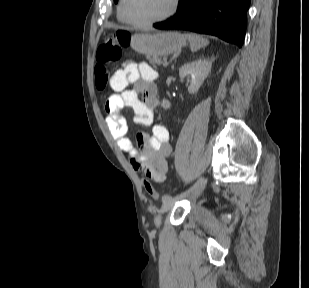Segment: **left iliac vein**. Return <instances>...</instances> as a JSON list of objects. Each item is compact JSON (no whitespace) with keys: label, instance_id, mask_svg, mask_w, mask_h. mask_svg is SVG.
<instances>
[{"label":"left iliac vein","instance_id":"left-iliac-vein-1","mask_svg":"<svg viewBox=\"0 0 309 288\" xmlns=\"http://www.w3.org/2000/svg\"><path fill=\"white\" fill-rule=\"evenodd\" d=\"M205 187V179L204 177H201L190 189H189V193L187 195V197L189 198H195L198 195L201 194V192L203 191ZM176 199H171V200H166L163 201L162 207L159 211L158 216L156 217L155 221L157 225H160L161 223V216L162 214H164L165 212L169 211L173 205L175 204Z\"/></svg>","mask_w":309,"mask_h":288}]
</instances>
